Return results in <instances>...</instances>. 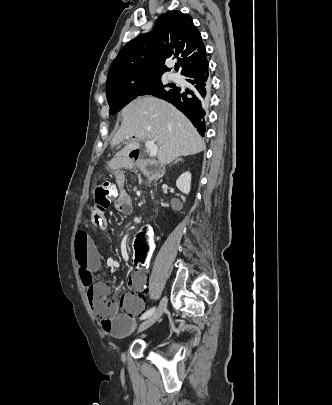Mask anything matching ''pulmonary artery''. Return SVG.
<instances>
[{
	"instance_id": "e3ab8cb5",
	"label": "pulmonary artery",
	"mask_w": 332,
	"mask_h": 405,
	"mask_svg": "<svg viewBox=\"0 0 332 405\" xmlns=\"http://www.w3.org/2000/svg\"><path fill=\"white\" fill-rule=\"evenodd\" d=\"M169 77H170V79H171L172 81H175V82H177V81L180 80V78H179L177 75H174V74H171Z\"/></svg>"
}]
</instances>
